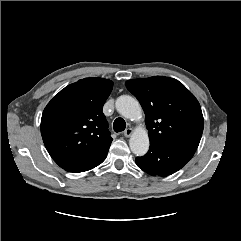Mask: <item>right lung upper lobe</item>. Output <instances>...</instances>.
<instances>
[{
	"label": "right lung upper lobe",
	"instance_id": "cb5924a9",
	"mask_svg": "<svg viewBox=\"0 0 241 241\" xmlns=\"http://www.w3.org/2000/svg\"><path fill=\"white\" fill-rule=\"evenodd\" d=\"M112 88L108 79H81L62 89L44 109L43 142L60 167L110 146L113 139L102 108Z\"/></svg>",
	"mask_w": 241,
	"mask_h": 241
}]
</instances>
